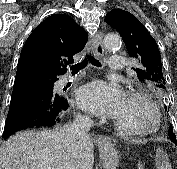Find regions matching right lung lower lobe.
I'll return each mask as SVG.
<instances>
[{
    "instance_id": "right-lung-lower-lobe-1",
    "label": "right lung lower lobe",
    "mask_w": 177,
    "mask_h": 169,
    "mask_svg": "<svg viewBox=\"0 0 177 169\" xmlns=\"http://www.w3.org/2000/svg\"><path fill=\"white\" fill-rule=\"evenodd\" d=\"M57 76L46 72L17 71L3 138L16 131L53 126L62 121L69 107L67 98L53 90Z\"/></svg>"
}]
</instances>
